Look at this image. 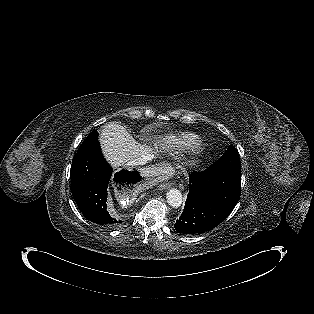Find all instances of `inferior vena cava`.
<instances>
[{
  "label": "inferior vena cava",
  "mask_w": 314,
  "mask_h": 314,
  "mask_svg": "<svg viewBox=\"0 0 314 314\" xmlns=\"http://www.w3.org/2000/svg\"><path fill=\"white\" fill-rule=\"evenodd\" d=\"M152 157L153 156H151V155H144L142 157H138V158H135V159L129 161L127 164L130 165V166L144 165L149 160H151Z\"/></svg>",
  "instance_id": "inferior-vena-cava-1"
}]
</instances>
